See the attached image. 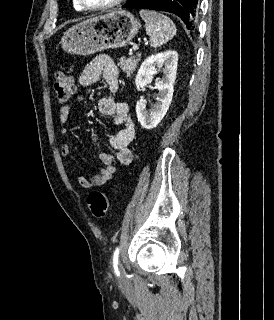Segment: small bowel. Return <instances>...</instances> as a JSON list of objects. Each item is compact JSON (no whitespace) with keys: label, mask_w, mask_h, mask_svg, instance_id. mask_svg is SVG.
<instances>
[{"label":"small bowel","mask_w":274,"mask_h":320,"mask_svg":"<svg viewBox=\"0 0 274 320\" xmlns=\"http://www.w3.org/2000/svg\"><path fill=\"white\" fill-rule=\"evenodd\" d=\"M100 80L105 82L110 94L99 100V111L104 115L111 116L114 124L120 129L109 138V144L115 150V154L107 152L100 154V161L104 165L100 172L91 179L80 173L76 175L77 183L83 189L104 185L113 177L118 165L127 166L133 160V154L128 146L134 140L135 128L129 115L128 105L118 101L115 97L119 87V73L112 59L106 54L96 56L85 66L78 78L82 87L92 86ZM76 100L86 102L82 96H77ZM71 108L72 103L70 102L61 106L59 110V123L62 134H67L66 123ZM60 153L63 157L69 156L70 146L68 143L61 145Z\"/></svg>","instance_id":"obj_1"}]
</instances>
